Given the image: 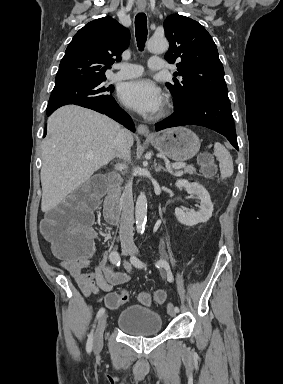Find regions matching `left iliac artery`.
<instances>
[{"label": "left iliac artery", "instance_id": "1", "mask_svg": "<svg viewBox=\"0 0 283 384\" xmlns=\"http://www.w3.org/2000/svg\"><path fill=\"white\" fill-rule=\"evenodd\" d=\"M130 261H131V263H132L135 267H138V268H143V267L146 266L145 263H143L141 260H139V259H138L137 257H135V256H132V257L130 258ZM156 266H157L158 268L163 267V268L166 270V272H167V280H168L169 282H172V281H173V275H172L170 266H169V264H168L167 261H165V260H159V261H157ZM174 310H175V312L178 313V312H179V307L175 306V307H174Z\"/></svg>", "mask_w": 283, "mask_h": 384}]
</instances>
